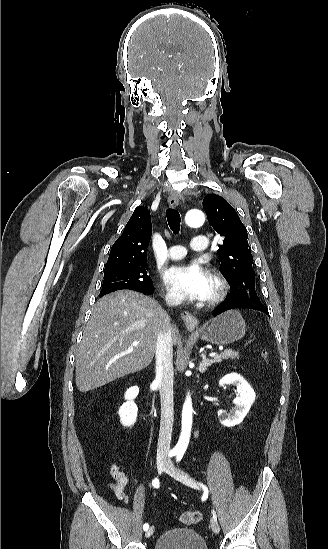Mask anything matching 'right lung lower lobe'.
<instances>
[{
    "label": "right lung lower lobe",
    "mask_w": 328,
    "mask_h": 549,
    "mask_svg": "<svg viewBox=\"0 0 328 549\" xmlns=\"http://www.w3.org/2000/svg\"><path fill=\"white\" fill-rule=\"evenodd\" d=\"M153 291H154V290H152V291H150V292H148V293H146V294L152 293Z\"/></svg>",
    "instance_id": "98d812e1"
}]
</instances>
